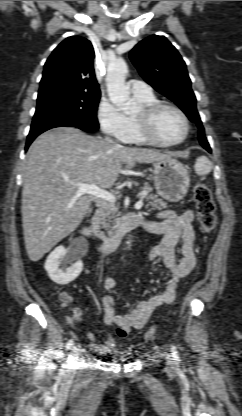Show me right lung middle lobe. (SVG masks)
<instances>
[{
    "mask_svg": "<svg viewBox=\"0 0 242 416\" xmlns=\"http://www.w3.org/2000/svg\"><path fill=\"white\" fill-rule=\"evenodd\" d=\"M99 99V93L66 90L38 95L31 127L45 122L69 119L81 122L90 130H97L99 124L96 112Z\"/></svg>",
    "mask_w": 242,
    "mask_h": 416,
    "instance_id": "obj_1",
    "label": "right lung middle lobe"
}]
</instances>
